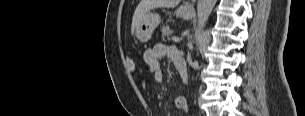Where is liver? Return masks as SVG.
Segmentation results:
<instances>
[{"label":"liver","mask_w":305,"mask_h":116,"mask_svg":"<svg viewBox=\"0 0 305 116\" xmlns=\"http://www.w3.org/2000/svg\"><path fill=\"white\" fill-rule=\"evenodd\" d=\"M179 3L180 0H141L137 8L135 9L133 15L131 32L134 33L135 29L137 28V25L140 23L144 15L148 13L151 9L159 7H175Z\"/></svg>","instance_id":"liver-1"}]
</instances>
